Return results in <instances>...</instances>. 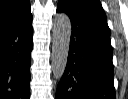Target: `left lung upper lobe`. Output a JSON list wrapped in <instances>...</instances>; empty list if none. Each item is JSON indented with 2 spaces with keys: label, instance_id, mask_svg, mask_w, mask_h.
I'll return each instance as SVG.
<instances>
[{
  "label": "left lung upper lobe",
  "instance_id": "5c2ea615",
  "mask_svg": "<svg viewBox=\"0 0 128 99\" xmlns=\"http://www.w3.org/2000/svg\"><path fill=\"white\" fill-rule=\"evenodd\" d=\"M70 1L76 3L79 6H82L84 8L93 9V10H96V11H99V12L105 14L99 0H70Z\"/></svg>",
  "mask_w": 128,
  "mask_h": 99
}]
</instances>
